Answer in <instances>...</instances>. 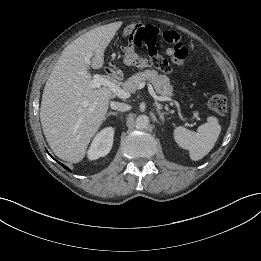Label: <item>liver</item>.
Wrapping results in <instances>:
<instances>
[{
	"mask_svg": "<svg viewBox=\"0 0 261 261\" xmlns=\"http://www.w3.org/2000/svg\"><path fill=\"white\" fill-rule=\"evenodd\" d=\"M115 31L111 25L101 26L71 42L45 84L40 121L50 148L62 160L78 163L85 157L115 97L106 86H90L92 76L85 63L86 55L92 54V68L103 66L104 51Z\"/></svg>",
	"mask_w": 261,
	"mask_h": 261,
	"instance_id": "obj_1",
	"label": "liver"
}]
</instances>
